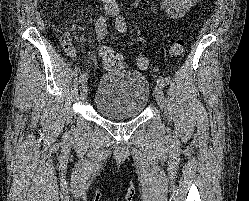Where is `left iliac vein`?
I'll list each match as a JSON object with an SVG mask.
<instances>
[{"label":"left iliac vein","mask_w":249,"mask_h":201,"mask_svg":"<svg viewBox=\"0 0 249 201\" xmlns=\"http://www.w3.org/2000/svg\"><path fill=\"white\" fill-rule=\"evenodd\" d=\"M155 99H156L158 105L160 106V108H163V106H164V93H163L162 87H160L159 85H157L155 88Z\"/></svg>","instance_id":"obj_1"}]
</instances>
